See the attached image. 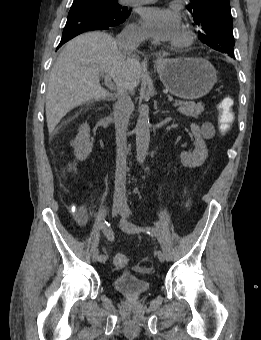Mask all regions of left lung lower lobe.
I'll return each mask as SVG.
<instances>
[{
  "label": "left lung lower lobe",
  "mask_w": 261,
  "mask_h": 340,
  "mask_svg": "<svg viewBox=\"0 0 261 340\" xmlns=\"http://www.w3.org/2000/svg\"><path fill=\"white\" fill-rule=\"evenodd\" d=\"M222 53H224V52H222ZM227 54H228L229 56H231V57L234 56V53H232V52H228Z\"/></svg>",
  "instance_id": "obj_1"
}]
</instances>
